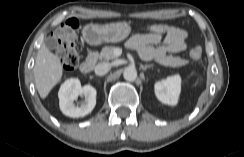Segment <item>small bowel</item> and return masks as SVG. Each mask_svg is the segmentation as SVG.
Masks as SVG:
<instances>
[{
  "instance_id": "1",
  "label": "small bowel",
  "mask_w": 244,
  "mask_h": 157,
  "mask_svg": "<svg viewBox=\"0 0 244 157\" xmlns=\"http://www.w3.org/2000/svg\"><path fill=\"white\" fill-rule=\"evenodd\" d=\"M188 33L178 27H170L165 33H142L128 40V47L136 50L144 60L161 59L167 53H179L186 49Z\"/></svg>"
}]
</instances>
